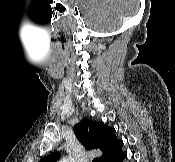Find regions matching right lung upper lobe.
Instances as JSON below:
<instances>
[{"label": "right lung upper lobe", "mask_w": 175, "mask_h": 162, "mask_svg": "<svg viewBox=\"0 0 175 162\" xmlns=\"http://www.w3.org/2000/svg\"><path fill=\"white\" fill-rule=\"evenodd\" d=\"M115 129L103 122H96L90 119H83L74 126V133L77 139L85 145L88 150L100 149L102 156L96 162H109L117 153L122 150L123 142L118 140ZM59 152H54L44 157L40 162H57Z\"/></svg>", "instance_id": "right-lung-upper-lobe-1"}]
</instances>
